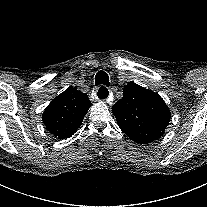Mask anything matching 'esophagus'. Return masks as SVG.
Wrapping results in <instances>:
<instances>
[{
    "instance_id": "1",
    "label": "esophagus",
    "mask_w": 207,
    "mask_h": 207,
    "mask_svg": "<svg viewBox=\"0 0 207 207\" xmlns=\"http://www.w3.org/2000/svg\"><path fill=\"white\" fill-rule=\"evenodd\" d=\"M93 96L97 101L107 102L109 100L108 87L106 85H99L95 88Z\"/></svg>"
}]
</instances>
